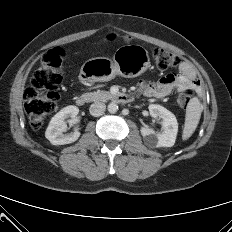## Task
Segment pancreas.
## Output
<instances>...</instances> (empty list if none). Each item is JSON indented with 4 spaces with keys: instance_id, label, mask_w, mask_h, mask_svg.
Masks as SVG:
<instances>
[{
    "instance_id": "1",
    "label": "pancreas",
    "mask_w": 232,
    "mask_h": 232,
    "mask_svg": "<svg viewBox=\"0 0 232 232\" xmlns=\"http://www.w3.org/2000/svg\"><path fill=\"white\" fill-rule=\"evenodd\" d=\"M86 96L90 101H106L114 97L110 92L101 90L87 93Z\"/></svg>"
}]
</instances>
